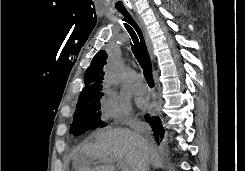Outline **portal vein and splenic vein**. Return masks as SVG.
<instances>
[{
  "mask_svg": "<svg viewBox=\"0 0 245 171\" xmlns=\"http://www.w3.org/2000/svg\"><path fill=\"white\" fill-rule=\"evenodd\" d=\"M117 164L120 166L122 171H130L128 165L123 160L117 161Z\"/></svg>",
  "mask_w": 245,
  "mask_h": 171,
  "instance_id": "obj_1",
  "label": "portal vein and splenic vein"
}]
</instances>
